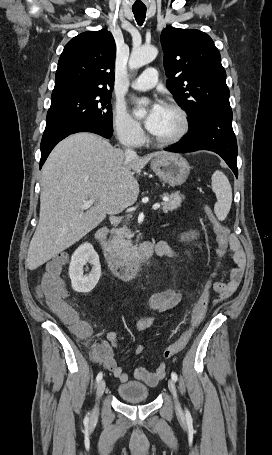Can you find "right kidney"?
I'll list each match as a JSON object with an SVG mask.
<instances>
[{"label": "right kidney", "instance_id": "1", "mask_svg": "<svg viewBox=\"0 0 272 455\" xmlns=\"http://www.w3.org/2000/svg\"><path fill=\"white\" fill-rule=\"evenodd\" d=\"M90 263L92 269L84 275L83 267ZM69 276L72 288L76 292L89 293L98 283L101 276L99 256L90 243L80 245L71 257Z\"/></svg>", "mask_w": 272, "mask_h": 455}]
</instances>
